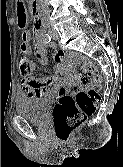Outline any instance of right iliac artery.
<instances>
[{"label": "right iliac artery", "mask_w": 123, "mask_h": 167, "mask_svg": "<svg viewBox=\"0 0 123 167\" xmlns=\"http://www.w3.org/2000/svg\"><path fill=\"white\" fill-rule=\"evenodd\" d=\"M43 41H44L45 43H49V42L51 41V36H50V34L45 33V34L43 35Z\"/></svg>", "instance_id": "obj_1"}]
</instances>
